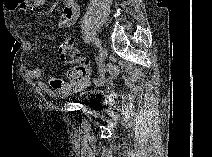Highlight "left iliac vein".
I'll list each match as a JSON object with an SVG mask.
<instances>
[{
	"label": "left iliac vein",
	"mask_w": 212,
	"mask_h": 157,
	"mask_svg": "<svg viewBox=\"0 0 212 157\" xmlns=\"http://www.w3.org/2000/svg\"><path fill=\"white\" fill-rule=\"evenodd\" d=\"M108 55V49L106 47V45H103V47H101L100 53H99V57H98V63H102L105 58Z\"/></svg>",
	"instance_id": "4c4485c4"
}]
</instances>
